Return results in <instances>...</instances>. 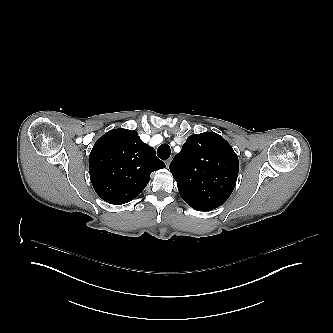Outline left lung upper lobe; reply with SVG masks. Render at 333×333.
<instances>
[{"label": "left lung upper lobe", "mask_w": 333, "mask_h": 333, "mask_svg": "<svg viewBox=\"0 0 333 333\" xmlns=\"http://www.w3.org/2000/svg\"><path fill=\"white\" fill-rule=\"evenodd\" d=\"M169 168L182 199L195 210L210 211L231 195L239 162L222 136L204 132L188 137Z\"/></svg>", "instance_id": "obj_1"}]
</instances>
